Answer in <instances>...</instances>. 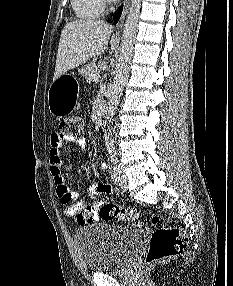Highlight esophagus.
Instances as JSON below:
<instances>
[{
    "mask_svg": "<svg viewBox=\"0 0 233 286\" xmlns=\"http://www.w3.org/2000/svg\"><path fill=\"white\" fill-rule=\"evenodd\" d=\"M131 1L132 0H125L124 1V8H123L122 14H121L118 22L116 23V26H115L117 34H119L122 30L123 22H124V19H125V16H126L128 10H129V6H130Z\"/></svg>",
    "mask_w": 233,
    "mask_h": 286,
    "instance_id": "obj_1",
    "label": "esophagus"
}]
</instances>
